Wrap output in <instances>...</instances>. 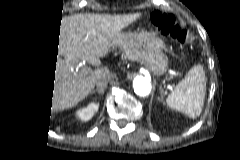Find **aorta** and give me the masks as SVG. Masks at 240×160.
<instances>
[{
  "label": "aorta",
  "mask_w": 240,
  "mask_h": 160,
  "mask_svg": "<svg viewBox=\"0 0 240 160\" xmlns=\"http://www.w3.org/2000/svg\"><path fill=\"white\" fill-rule=\"evenodd\" d=\"M134 92L140 97H146L150 94L152 86L150 81L144 76H137L133 80Z\"/></svg>",
  "instance_id": "obj_1"
}]
</instances>
